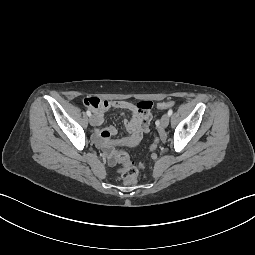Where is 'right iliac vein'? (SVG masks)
Wrapping results in <instances>:
<instances>
[{
  "label": "right iliac vein",
  "instance_id": "right-iliac-vein-1",
  "mask_svg": "<svg viewBox=\"0 0 255 255\" xmlns=\"http://www.w3.org/2000/svg\"><path fill=\"white\" fill-rule=\"evenodd\" d=\"M89 123H90V125L95 126L96 125V118L94 116H90Z\"/></svg>",
  "mask_w": 255,
  "mask_h": 255
}]
</instances>
